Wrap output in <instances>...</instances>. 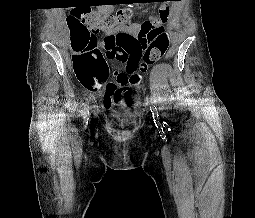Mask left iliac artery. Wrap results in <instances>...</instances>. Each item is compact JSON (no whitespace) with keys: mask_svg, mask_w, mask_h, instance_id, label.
Segmentation results:
<instances>
[{"mask_svg":"<svg viewBox=\"0 0 255 218\" xmlns=\"http://www.w3.org/2000/svg\"><path fill=\"white\" fill-rule=\"evenodd\" d=\"M150 110H151L153 116L158 114L157 108H156L155 105L152 104V105L150 106Z\"/></svg>","mask_w":255,"mask_h":218,"instance_id":"left-iliac-artery-1","label":"left iliac artery"}]
</instances>
